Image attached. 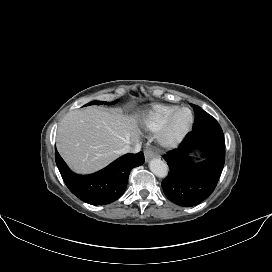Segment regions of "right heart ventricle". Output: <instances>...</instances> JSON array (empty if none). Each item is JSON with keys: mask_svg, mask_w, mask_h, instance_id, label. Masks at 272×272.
<instances>
[{"mask_svg": "<svg viewBox=\"0 0 272 272\" xmlns=\"http://www.w3.org/2000/svg\"><path fill=\"white\" fill-rule=\"evenodd\" d=\"M176 108L170 105L154 106L143 115L142 124L150 131H157Z\"/></svg>", "mask_w": 272, "mask_h": 272, "instance_id": "1", "label": "right heart ventricle"}]
</instances>
